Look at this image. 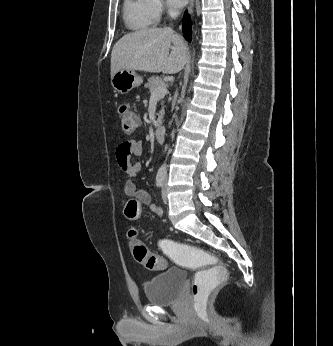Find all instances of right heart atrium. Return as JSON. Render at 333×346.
Returning a JSON list of instances; mask_svg holds the SVG:
<instances>
[{"instance_id":"d8ad5b80","label":"right heart atrium","mask_w":333,"mask_h":346,"mask_svg":"<svg viewBox=\"0 0 333 346\" xmlns=\"http://www.w3.org/2000/svg\"><path fill=\"white\" fill-rule=\"evenodd\" d=\"M149 4L153 18L156 21L159 20L166 11L172 13L171 10L167 9L162 0H149Z\"/></svg>"}]
</instances>
